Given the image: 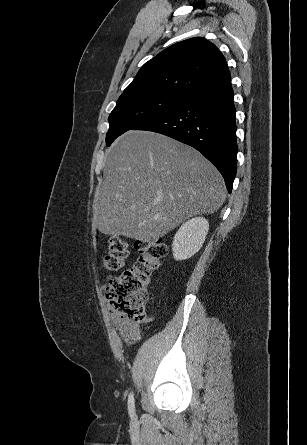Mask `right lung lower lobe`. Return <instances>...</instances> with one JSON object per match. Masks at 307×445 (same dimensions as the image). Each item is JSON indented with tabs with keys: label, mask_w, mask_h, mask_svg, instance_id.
I'll use <instances>...</instances> for the list:
<instances>
[{
	"label": "right lung lower lobe",
	"mask_w": 307,
	"mask_h": 445,
	"mask_svg": "<svg viewBox=\"0 0 307 445\" xmlns=\"http://www.w3.org/2000/svg\"><path fill=\"white\" fill-rule=\"evenodd\" d=\"M235 112L229 76L132 130L154 131L194 147L220 171L231 193L237 164Z\"/></svg>",
	"instance_id": "obj_1"
}]
</instances>
